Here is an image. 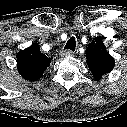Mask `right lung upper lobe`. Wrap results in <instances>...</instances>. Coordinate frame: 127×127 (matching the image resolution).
Wrapping results in <instances>:
<instances>
[{
    "mask_svg": "<svg viewBox=\"0 0 127 127\" xmlns=\"http://www.w3.org/2000/svg\"><path fill=\"white\" fill-rule=\"evenodd\" d=\"M18 72L29 81L38 80L51 63L48 54H43L37 43L17 53Z\"/></svg>",
    "mask_w": 127,
    "mask_h": 127,
    "instance_id": "obj_1",
    "label": "right lung upper lobe"
}]
</instances>
